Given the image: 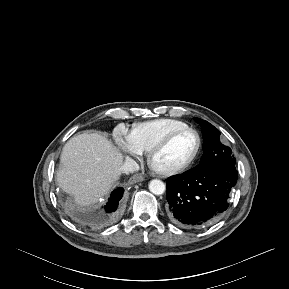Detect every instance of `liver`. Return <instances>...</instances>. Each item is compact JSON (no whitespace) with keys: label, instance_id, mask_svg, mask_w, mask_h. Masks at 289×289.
Wrapping results in <instances>:
<instances>
[{"label":"liver","instance_id":"1","mask_svg":"<svg viewBox=\"0 0 289 289\" xmlns=\"http://www.w3.org/2000/svg\"><path fill=\"white\" fill-rule=\"evenodd\" d=\"M60 161L59 187L86 206L109 193L121 173L123 156L107 137L83 133L67 141Z\"/></svg>","mask_w":289,"mask_h":289}]
</instances>
